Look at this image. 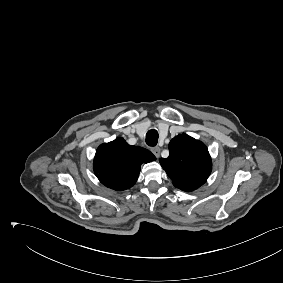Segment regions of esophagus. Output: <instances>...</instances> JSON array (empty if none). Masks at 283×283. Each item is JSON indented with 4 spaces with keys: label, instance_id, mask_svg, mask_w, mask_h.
<instances>
[{
    "label": "esophagus",
    "instance_id": "obj_1",
    "mask_svg": "<svg viewBox=\"0 0 283 283\" xmlns=\"http://www.w3.org/2000/svg\"><path fill=\"white\" fill-rule=\"evenodd\" d=\"M151 151L156 156V158H159L161 152V149L159 147H153Z\"/></svg>",
    "mask_w": 283,
    "mask_h": 283
}]
</instances>
